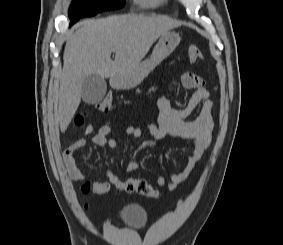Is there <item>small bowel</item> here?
Segmentation results:
<instances>
[{
  "mask_svg": "<svg viewBox=\"0 0 283 245\" xmlns=\"http://www.w3.org/2000/svg\"><path fill=\"white\" fill-rule=\"evenodd\" d=\"M182 85L185 89L194 90L187 104L180 109L173 108L169 99L160 94L157 98V107L159 110L158 122L145 123V130L152 137L151 140L144 141L139 148V153L142 151L156 147L165 136L178 137L185 140L191 147L192 152L188 155L186 163L182 170L173 173L170 180L164 176L157 178V184L167 186L169 190H175L180 184L185 182L195 170L198 162L202 158L204 152L208 149L212 141L214 130V120L212 117L213 101L210 99V93L202 78L192 72H185L181 77ZM202 104L200 112L189 119L194 110ZM92 127L89 126L86 132H91ZM112 132L110 125L101 126L92 141L100 147H108L116 149L118 142L114 138L109 137ZM125 133L129 137L140 139L144 132L138 126H128ZM86 145L84 138H79L73 144L68 146L63 152V162L68 175L74 180H82L83 174L76 166L75 155L78 150ZM138 167V159L135 157L128 165L127 172L131 174ZM108 181L96 182L93 185V193L95 195H104L109 192L111 185H114L118 190H122L121 183L123 179L115 176L111 171H106ZM88 204L84 208L88 209Z\"/></svg>",
  "mask_w": 283,
  "mask_h": 245,
  "instance_id": "1",
  "label": "small bowel"
}]
</instances>
